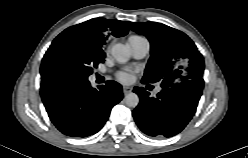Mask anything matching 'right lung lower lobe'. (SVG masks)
Listing matches in <instances>:
<instances>
[{
    "instance_id": "1",
    "label": "right lung lower lobe",
    "mask_w": 248,
    "mask_h": 158,
    "mask_svg": "<svg viewBox=\"0 0 248 158\" xmlns=\"http://www.w3.org/2000/svg\"><path fill=\"white\" fill-rule=\"evenodd\" d=\"M41 98L50 120L63 134L86 137L98 132L110 111L122 98V87L115 81L92 88L83 82L54 83L41 88Z\"/></svg>"
}]
</instances>
